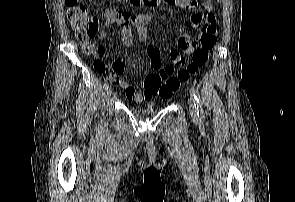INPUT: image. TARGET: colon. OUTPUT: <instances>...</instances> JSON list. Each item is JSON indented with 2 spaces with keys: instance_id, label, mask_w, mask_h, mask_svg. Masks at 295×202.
<instances>
[{
  "instance_id": "5ec220e1",
  "label": "colon",
  "mask_w": 295,
  "mask_h": 202,
  "mask_svg": "<svg viewBox=\"0 0 295 202\" xmlns=\"http://www.w3.org/2000/svg\"><path fill=\"white\" fill-rule=\"evenodd\" d=\"M134 6H156L159 0H129ZM67 18L76 39L83 45L91 43L98 32V25L93 16L88 14L87 8L79 4L77 0H66ZM217 41V28L214 23L203 27L199 37V46L193 52L192 60L185 69L174 74V68L169 67L167 71L159 74H150L143 80L145 90H151L164 99L171 98L182 83L187 82L191 75L204 67L209 59L210 51L215 47ZM121 63V62H119ZM183 63L180 57L178 64ZM105 69V68H104Z\"/></svg>"
}]
</instances>
